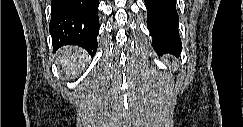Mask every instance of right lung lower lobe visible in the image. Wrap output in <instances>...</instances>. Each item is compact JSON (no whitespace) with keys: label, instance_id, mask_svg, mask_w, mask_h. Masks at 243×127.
I'll list each match as a JSON object with an SVG mask.
<instances>
[{"label":"right lung lower lobe","instance_id":"98d812e1","mask_svg":"<svg viewBox=\"0 0 243 127\" xmlns=\"http://www.w3.org/2000/svg\"><path fill=\"white\" fill-rule=\"evenodd\" d=\"M49 31L54 50L78 45L93 56L99 32L98 0H52Z\"/></svg>","mask_w":243,"mask_h":127}]
</instances>
